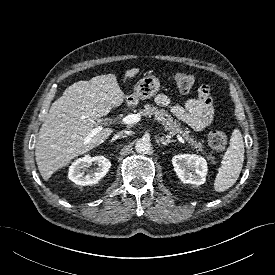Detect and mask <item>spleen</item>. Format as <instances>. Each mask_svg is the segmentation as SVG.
I'll use <instances>...</instances> for the list:
<instances>
[{
    "instance_id": "obj_1",
    "label": "spleen",
    "mask_w": 275,
    "mask_h": 275,
    "mask_svg": "<svg viewBox=\"0 0 275 275\" xmlns=\"http://www.w3.org/2000/svg\"><path fill=\"white\" fill-rule=\"evenodd\" d=\"M244 142L239 129H234L230 138V146L223 156L222 166L218 169L214 189L224 192L232 187L239 178L244 162Z\"/></svg>"
}]
</instances>
